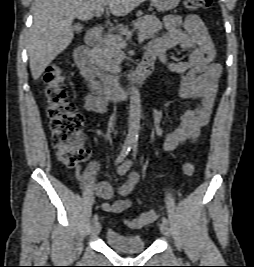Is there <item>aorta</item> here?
Segmentation results:
<instances>
[{
    "label": "aorta",
    "instance_id": "aorta-1",
    "mask_svg": "<svg viewBox=\"0 0 254 267\" xmlns=\"http://www.w3.org/2000/svg\"><path fill=\"white\" fill-rule=\"evenodd\" d=\"M141 117V98L140 92L137 87H133L130 96V109H129V130L128 138L136 141L140 129Z\"/></svg>",
    "mask_w": 254,
    "mask_h": 267
}]
</instances>
